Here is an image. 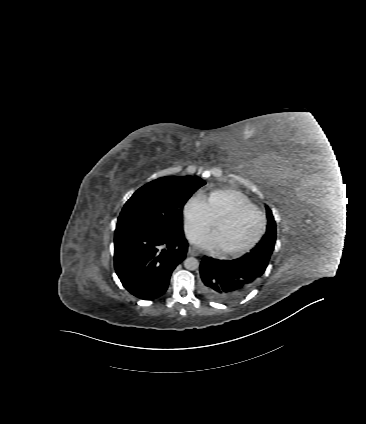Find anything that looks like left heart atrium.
<instances>
[{
  "label": "left heart atrium",
  "instance_id": "left-heart-atrium-1",
  "mask_svg": "<svg viewBox=\"0 0 366 424\" xmlns=\"http://www.w3.org/2000/svg\"><path fill=\"white\" fill-rule=\"evenodd\" d=\"M192 243L199 247H202L214 252H219L221 250L218 244V241L216 239V236L213 233H210L196 240H193Z\"/></svg>",
  "mask_w": 366,
  "mask_h": 424
}]
</instances>
